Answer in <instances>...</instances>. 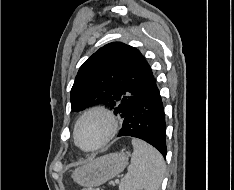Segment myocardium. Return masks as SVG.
Instances as JSON below:
<instances>
[{
	"label": "myocardium",
	"instance_id": "1",
	"mask_svg": "<svg viewBox=\"0 0 234 190\" xmlns=\"http://www.w3.org/2000/svg\"><path fill=\"white\" fill-rule=\"evenodd\" d=\"M93 116H98L103 118L106 123H107V132L106 135L104 136V138L96 145L86 148L84 146L81 145V143L79 142V130L81 125L83 124V122ZM118 130V122L117 119L115 117V115L113 114L112 111H110L109 109L103 107V106H94L91 107L89 109H87L76 121V124L74 126V132H73V136H74V141L76 143V145L82 149L83 151L86 152H93L96 151L102 147H104L116 134Z\"/></svg>",
	"mask_w": 234,
	"mask_h": 190
}]
</instances>
